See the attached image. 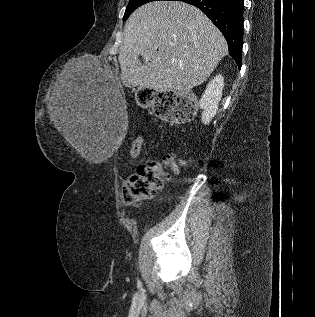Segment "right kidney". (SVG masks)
I'll list each match as a JSON object with an SVG mask.
<instances>
[{
	"label": "right kidney",
	"instance_id": "obj_1",
	"mask_svg": "<svg viewBox=\"0 0 315 317\" xmlns=\"http://www.w3.org/2000/svg\"><path fill=\"white\" fill-rule=\"evenodd\" d=\"M224 87V78L222 75H216L212 79L204 91L199 106L203 110L202 122L208 125L218 110V104L222 97V91Z\"/></svg>",
	"mask_w": 315,
	"mask_h": 317
}]
</instances>
